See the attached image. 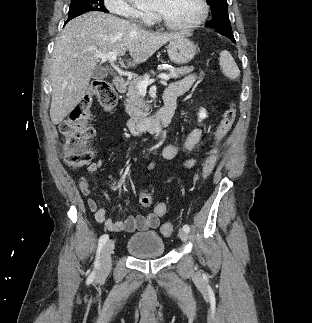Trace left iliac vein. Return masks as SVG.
<instances>
[{"label":"left iliac vein","mask_w":312,"mask_h":323,"mask_svg":"<svg viewBox=\"0 0 312 323\" xmlns=\"http://www.w3.org/2000/svg\"><path fill=\"white\" fill-rule=\"evenodd\" d=\"M179 237L183 242H186L188 239V233L185 230L180 229Z\"/></svg>","instance_id":"1"}]
</instances>
